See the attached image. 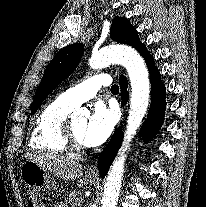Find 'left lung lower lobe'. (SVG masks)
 Wrapping results in <instances>:
<instances>
[{
  "instance_id": "obj_1",
  "label": "left lung lower lobe",
  "mask_w": 206,
  "mask_h": 207,
  "mask_svg": "<svg viewBox=\"0 0 206 207\" xmlns=\"http://www.w3.org/2000/svg\"><path fill=\"white\" fill-rule=\"evenodd\" d=\"M141 55L148 65L152 86L151 106L148 112V118L142 126L141 133L145 139L148 138L151 140L154 135L158 133V130L164 121L166 92L165 86L160 79V73L154 64L153 56L146 49L141 53ZM119 80L121 86L122 105H124L128 100V81L124 76H120ZM122 140V130L118 129L99 157L98 168L100 171V176L104 177L106 175L110 164L114 160L116 153L121 146Z\"/></svg>"
}]
</instances>
